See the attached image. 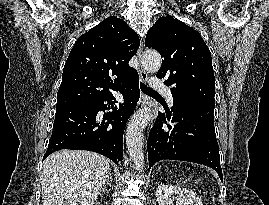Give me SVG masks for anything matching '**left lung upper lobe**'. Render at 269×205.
Returning <instances> with one entry per match:
<instances>
[{"mask_svg":"<svg viewBox=\"0 0 269 205\" xmlns=\"http://www.w3.org/2000/svg\"><path fill=\"white\" fill-rule=\"evenodd\" d=\"M145 46L161 54L157 77L171 87L174 101L215 102L211 53L196 30L172 16L161 17L148 31Z\"/></svg>","mask_w":269,"mask_h":205,"instance_id":"5c2ea615","label":"left lung upper lobe"}]
</instances>
